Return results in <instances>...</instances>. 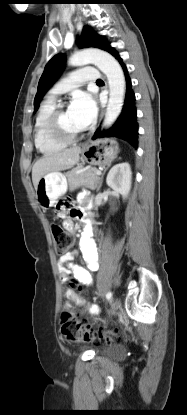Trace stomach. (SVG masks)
Here are the masks:
<instances>
[{"label": "stomach", "instance_id": "obj_1", "mask_svg": "<svg viewBox=\"0 0 187 415\" xmlns=\"http://www.w3.org/2000/svg\"><path fill=\"white\" fill-rule=\"evenodd\" d=\"M119 152L118 143L106 138L92 141L81 150L82 158L91 165H110ZM67 191L66 176L61 172H50L44 175L36 187V199L39 206L47 210Z\"/></svg>", "mask_w": 187, "mask_h": 415}]
</instances>
